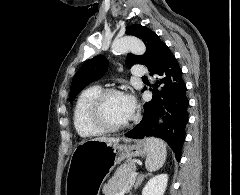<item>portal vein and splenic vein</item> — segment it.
Wrapping results in <instances>:
<instances>
[{"instance_id":"portal-vein-and-splenic-vein-1","label":"portal vein and splenic vein","mask_w":240,"mask_h":195,"mask_svg":"<svg viewBox=\"0 0 240 195\" xmlns=\"http://www.w3.org/2000/svg\"><path fill=\"white\" fill-rule=\"evenodd\" d=\"M136 175H138L137 171H133V173H131L130 177L127 178V181L122 188L119 190L118 195H125L126 193L124 192L125 188L127 189V187L130 186V183L134 181ZM130 182V183H129Z\"/></svg>"}]
</instances>
